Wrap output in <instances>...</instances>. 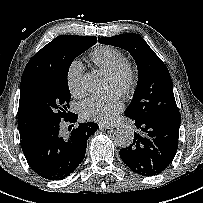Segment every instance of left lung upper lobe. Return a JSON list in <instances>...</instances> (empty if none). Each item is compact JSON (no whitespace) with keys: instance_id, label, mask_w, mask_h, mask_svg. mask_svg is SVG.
Returning <instances> with one entry per match:
<instances>
[{"instance_id":"1","label":"left lung upper lobe","mask_w":203,"mask_h":203,"mask_svg":"<svg viewBox=\"0 0 203 203\" xmlns=\"http://www.w3.org/2000/svg\"><path fill=\"white\" fill-rule=\"evenodd\" d=\"M101 44L128 51L138 68V84L125 116L140 119H180L170 73L164 62L138 34L98 37Z\"/></svg>"}]
</instances>
